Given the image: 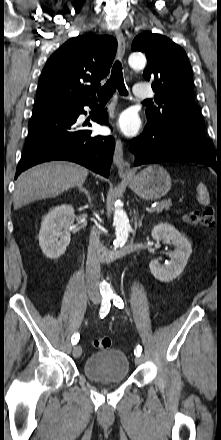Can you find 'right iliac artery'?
<instances>
[{
	"label": "right iliac artery",
	"mask_w": 221,
	"mask_h": 440,
	"mask_svg": "<svg viewBox=\"0 0 221 440\" xmlns=\"http://www.w3.org/2000/svg\"><path fill=\"white\" fill-rule=\"evenodd\" d=\"M109 310H110V297H104L99 311L100 317L104 318L108 314ZM79 338L80 336L78 333L74 334V336L72 337V344L73 345L77 344Z\"/></svg>",
	"instance_id": "1"
}]
</instances>
